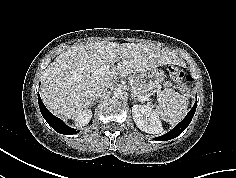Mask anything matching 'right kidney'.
<instances>
[{
  "label": "right kidney",
  "mask_w": 236,
  "mask_h": 178,
  "mask_svg": "<svg viewBox=\"0 0 236 178\" xmlns=\"http://www.w3.org/2000/svg\"><path fill=\"white\" fill-rule=\"evenodd\" d=\"M91 118H92V111L90 109H87L83 111V113L76 118L75 125L77 127L85 126L89 123Z\"/></svg>",
  "instance_id": "obj_1"
}]
</instances>
